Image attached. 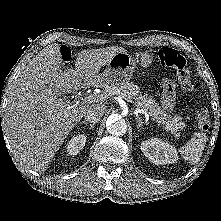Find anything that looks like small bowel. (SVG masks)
<instances>
[{
	"label": "small bowel",
	"mask_w": 221,
	"mask_h": 221,
	"mask_svg": "<svg viewBox=\"0 0 221 221\" xmlns=\"http://www.w3.org/2000/svg\"><path fill=\"white\" fill-rule=\"evenodd\" d=\"M161 102L164 109L171 110L174 107V91L164 92Z\"/></svg>",
	"instance_id": "1"
}]
</instances>
